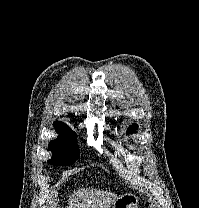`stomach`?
<instances>
[{
    "label": "stomach",
    "instance_id": "1",
    "mask_svg": "<svg viewBox=\"0 0 199 208\" xmlns=\"http://www.w3.org/2000/svg\"><path fill=\"white\" fill-rule=\"evenodd\" d=\"M139 198L133 193H124L114 200L112 208H138Z\"/></svg>",
    "mask_w": 199,
    "mask_h": 208
}]
</instances>
